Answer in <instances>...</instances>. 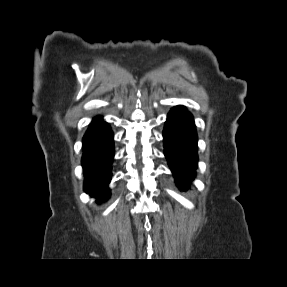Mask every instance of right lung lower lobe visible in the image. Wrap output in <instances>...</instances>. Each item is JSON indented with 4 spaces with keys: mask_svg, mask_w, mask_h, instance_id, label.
<instances>
[{
    "mask_svg": "<svg viewBox=\"0 0 287 287\" xmlns=\"http://www.w3.org/2000/svg\"><path fill=\"white\" fill-rule=\"evenodd\" d=\"M114 157L113 132L100 116L93 119L83 137L84 190L98 202L108 199Z\"/></svg>",
    "mask_w": 287,
    "mask_h": 287,
    "instance_id": "1",
    "label": "right lung lower lobe"
}]
</instances>
